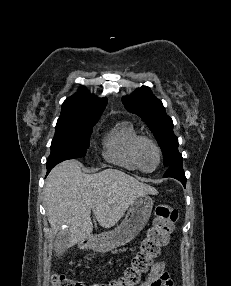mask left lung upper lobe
I'll list each match as a JSON object with an SVG mask.
<instances>
[{"mask_svg":"<svg viewBox=\"0 0 231 286\" xmlns=\"http://www.w3.org/2000/svg\"><path fill=\"white\" fill-rule=\"evenodd\" d=\"M122 102L129 112L140 116L150 128L162 149L166 168L183 160L178 152V138L173 133L172 119L148 87L138 88L130 96L123 97Z\"/></svg>","mask_w":231,"mask_h":286,"instance_id":"5c2ea615","label":"left lung upper lobe"}]
</instances>
